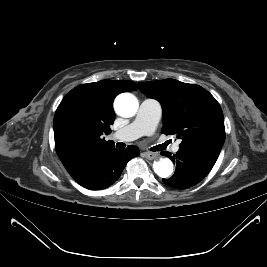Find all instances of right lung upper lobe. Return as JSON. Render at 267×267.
I'll return each mask as SVG.
<instances>
[{
  "label": "right lung upper lobe",
  "instance_id": "1",
  "mask_svg": "<svg viewBox=\"0 0 267 267\" xmlns=\"http://www.w3.org/2000/svg\"><path fill=\"white\" fill-rule=\"evenodd\" d=\"M137 90L132 81L102 80L72 89L59 104L54 117L55 149L71 169L87 154L113 147L103 134L111 132L115 119L114 98L122 92Z\"/></svg>",
  "mask_w": 267,
  "mask_h": 267
}]
</instances>
